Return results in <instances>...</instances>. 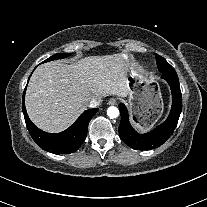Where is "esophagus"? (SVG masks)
<instances>
[{"label":"esophagus","instance_id":"34e87169","mask_svg":"<svg viewBox=\"0 0 207 207\" xmlns=\"http://www.w3.org/2000/svg\"><path fill=\"white\" fill-rule=\"evenodd\" d=\"M108 104L109 105H116L117 104V99H115V98L109 99Z\"/></svg>","mask_w":207,"mask_h":207}]
</instances>
